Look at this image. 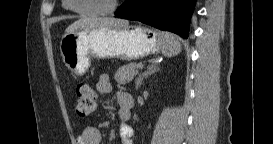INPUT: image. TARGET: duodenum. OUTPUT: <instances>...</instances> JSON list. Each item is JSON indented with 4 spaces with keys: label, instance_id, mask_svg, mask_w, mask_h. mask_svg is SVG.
<instances>
[{
    "label": "duodenum",
    "instance_id": "obj_1",
    "mask_svg": "<svg viewBox=\"0 0 273 144\" xmlns=\"http://www.w3.org/2000/svg\"><path fill=\"white\" fill-rule=\"evenodd\" d=\"M121 106L126 110V119L131 117V108L134 105V100L130 95L125 94L120 100Z\"/></svg>",
    "mask_w": 273,
    "mask_h": 144
}]
</instances>
